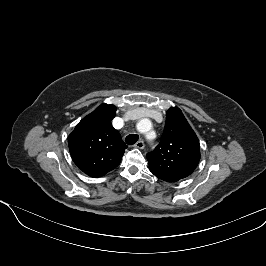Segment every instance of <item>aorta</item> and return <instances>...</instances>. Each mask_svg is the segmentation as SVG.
I'll return each mask as SVG.
<instances>
[{
    "mask_svg": "<svg viewBox=\"0 0 266 266\" xmlns=\"http://www.w3.org/2000/svg\"><path fill=\"white\" fill-rule=\"evenodd\" d=\"M138 128L142 133L149 134L151 131V122L148 119H142L138 123Z\"/></svg>",
    "mask_w": 266,
    "mask_h": 266,
    "instance_id": "obj_1",
    "label": "aorta"
}]
</instances>
